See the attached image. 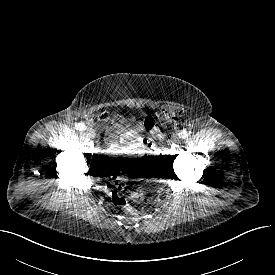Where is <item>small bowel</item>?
I'll list each match as a JSON object with an SVG mask.
<instances>
[{"instance_id": "small-bowel-1", "label": "small bowel", "mask_w": 275, "mask_h": 275, "mask_svg": "<svg viewBox=\"0 0 275 275\" xmlns=\"http://www.w3.org/2000/svg\"><path fill=\"white\" fill-rule=\"evenodd\" d=\"M143 129L144 123L134 117L116 116L106 129L105 140L112 150L119 149V143L129 149H136L141 145Z\"/></svg>"}]
</instances>
